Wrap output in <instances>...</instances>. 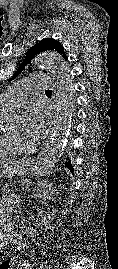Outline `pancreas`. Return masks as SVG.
Masks as SVG:
<instances>
[{
  "label": "pancreas",
  "mask_w": 118,
  "mask_h": 269,
  "mask_svg": "<svg viewBox=\"0 0 118 269\" xmlns=\"http://www.w3.org/2000/svg\"><path fill=\"white\" fill-rule=\"evenodd\" d=\"M18 189V182H6V187H3V192H16Z\"/></svg>",
  "instance_id": "obj_1"
}]
</instances>
